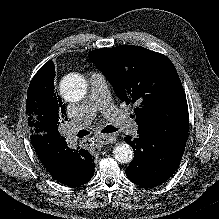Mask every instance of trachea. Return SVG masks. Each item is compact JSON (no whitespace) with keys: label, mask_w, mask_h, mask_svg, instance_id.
Instances as JSON below:
<instances>
[{"label":"trachea","mask_w":219,"mask_h":219,"mask_svg":"<svg viewBox=\"0 0 219 219\" xmlns=\"http://www.w3.org/2000/svg\"><path fill=\"white\" fill-rule=\"evenodd\" d=\"M116 131H117V128H115L111 125H108V126L104 127L101 132L102 133H113V132H116ZM81 132L83 133V136L88 134V132L85 131V130H83Z\"/></svg>","instance_id":"obj_1"}]
</instances>
